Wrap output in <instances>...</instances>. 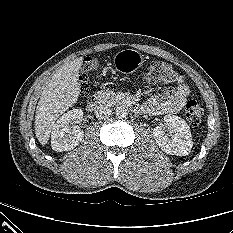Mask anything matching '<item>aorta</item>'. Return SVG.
Listing matches in <instances>:
<instances>
[{
  "instance_id": "aorta-1",
  "label": "aorta",
  "mask_w": 233,
  "mask_h": 233,
  "mask_svg": "<svg viewBox=\"0 0 233 233\" xmlns=\"http://www.w3.org/2000/svg\"><path fill=\"white\" fill-rule=\"evenodd\" d=\"M118 118H125L127 116V109L124 106H119L115 110Z\"/></svg>"
}]
</instances>
